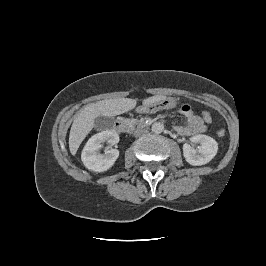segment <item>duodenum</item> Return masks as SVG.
Returning a JSON list of instances; mask_svg holds the SVG:
<instances>
[{"instance_id":"410a0bca","label":"duodenum","mask_w":266,"mask_h":266,"mask_svg":"<svg viewBox=\"0 0 266 266\" xmlns=\"http://www.w3.org/2000/svg\"><path fill=\"white\" fill-rule=\"evenodd\" d=\"M130 129L129 125L127 124V122L122 119V118H118L115 122V130L119 133H125Z\"/></svg>"}]
</instances>
